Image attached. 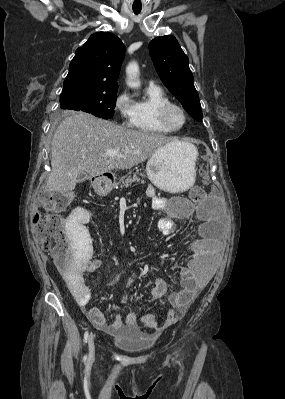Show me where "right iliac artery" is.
<instances>
[{
  "label": "right iliac artery",
  "mask_w": 285,
  "mask_h": 399,
  "mask_svg": "<svg viewBox=\"0 0 285 399\" xmlns=\"http://www.w3.org/2000/svg\"><path fill=\"white\" fill-rule=\"evenodd\" d=\"M87 340H88V331H86L85 333H84V342L85 343H87ZM87 358V356L85 355V359Z\"/></svg>",
  "instance_id": "1"
}]
</instances>
